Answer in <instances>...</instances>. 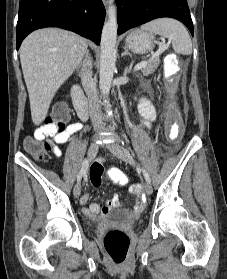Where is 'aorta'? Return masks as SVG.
Instances as JSON below:
<instances>
[{"label": "aorta", "mask_w": 227, "mask_h": 279, "mask_svg": "<svg viewBox=\"0 0 227 279\" xmlns=\"http://www.w3.org/2000/svg\"><path fill=\"white\" fill-rule=\"evenodd\" d=\"M117 10L111 3L107 10L100 44L99 86L104 97H108L113 73L116 69Z\"/></svg>", "instance_id": "aorta-1"}]
</instances>
